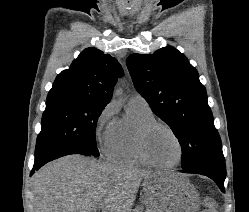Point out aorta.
<instances>
[{
	"label": "aorta",
	"instance_id": "1",
	"mask_svg": "<svg viewBox=\"0 0 249 212\" xmlns=\"http://www.w3.org/2000/svg\"><path fill=\"white\" fill-rule=\"evenodd\" d=\"M121 93H122V89H121L120 87H118V88L115 90V94H116L117 96H119V95H121Z\"/></svg>",
	"mask_w": 249,
	"mask_h": 212
}]
</instances>
